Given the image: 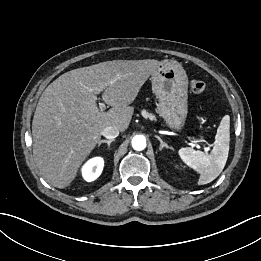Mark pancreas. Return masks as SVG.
Returning <instances> with one entry per match:
<instances>
[{
  "instance_id": "cf45deb5",
  "label": "pancreas",
  "mask_w": 261,
  "mask_h": 261,
  "mask_svg": "<svg viewBox=\"0 0 261 261\" xmlns=\"http://www.w3.org/2000/svg\"><path fill=\"white\" fill-rule=\"evenodd\" d=\"M142 115L144 116V117H146V118H150L151 120H155V116L154 115H152V114H150V113H148L147 111H142Z\"/></svg>"
}]
</instances>
